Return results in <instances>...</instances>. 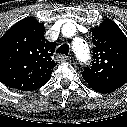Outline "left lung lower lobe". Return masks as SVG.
<instances>
[{"label":"left lung lower lobe","mask_w":127,"mask_h":127,"mask_svg":"<svg viewBox=\"0 0 127 127\" xmlns=\"http://www.w3.org/2000/svg\"><path fill=\"white\" fill-rule=\"evenodd\" d=\"M88 85L93 90H95L96 92H99V93H109V92H113L114 90L117 89L111 85L101 83V82H89Z\"/></svg>","instance_id":"obj_1"}]
</instances>
